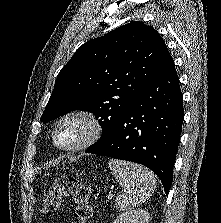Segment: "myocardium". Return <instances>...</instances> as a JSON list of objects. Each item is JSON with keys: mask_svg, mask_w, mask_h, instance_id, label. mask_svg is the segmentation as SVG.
I'll return each instance as SVG.
<instances>
[{"mask_svg": "<svg viewBox=\"0 0 221 223\" xmlns=\"http://www.w3.org/2000/svg\"><path fill=\"white\" fill-rule=\"evenodd\" d=\"M81 118L87 124V132L82 140L71 145H61L56 140V134L60 126L68 119ZM104 126L100 118L87 109H72L62 114L56 121L52 130L53 144L64 151H76L85 149L96 143L103 135Z\"/></svg>", "mask_w": 221, "mask_h": 223, "instance_id": "f54148a6", "label": "myocardium"}]
</instances>
